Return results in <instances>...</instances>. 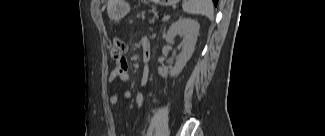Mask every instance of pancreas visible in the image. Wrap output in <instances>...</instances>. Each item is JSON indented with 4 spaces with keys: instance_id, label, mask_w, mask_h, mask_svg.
Instances as JSON below:
<instances>
[{
    "instance_id": "pancreas-1",
    "label": "pancreas",
    "mask_w": 325,
    "mask_h": 136,
    "mask_svg": "<svg viewBox=\"0 0 325 136\" xmlns=\"http://www.w3.org/2000/svg\"><path fill=\"white\" fill-rule=\"evenodd\" d=\"M158 9L155 5L145 6L143 12H137V19H141V22L146 24H158L159 18L154 17L158 16Z\"/></svg>"
}]
</instances>
